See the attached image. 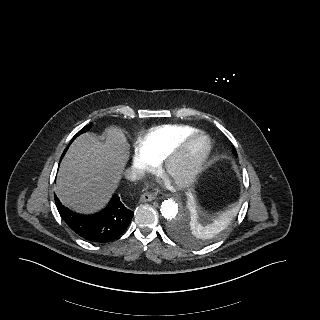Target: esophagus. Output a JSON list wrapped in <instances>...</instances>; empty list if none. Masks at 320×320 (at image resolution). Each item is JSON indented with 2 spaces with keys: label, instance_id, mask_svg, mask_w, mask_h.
I'll return each mask as SVG.
<instances>
[{
  "label": "esophagus",
  "instance_id": "34e87169",
  "mask_svg": "<svg viewBox=\"0 0 320 320\" xmlns=\"http://www.w3.org/2000/svg\"><path fill=\"white\" fill-rule=\"evenodd\" d=\"M155 198H156V196L154 194L144 193L141 195L140 201L141 202H150V201H153Z\"/></svg>",
  "mask_w": 320,
  "mask_h": 320
}]
</instances>
